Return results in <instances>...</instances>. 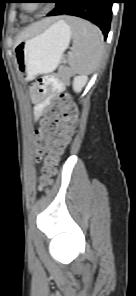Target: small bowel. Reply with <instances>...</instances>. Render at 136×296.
Listing matches in <instances>:
<instances>
[{
  "label": "small bowel",
  "mask_w": 136,
  "mask_h": 296,
  "mask_svg": "<svg viewBox=\"0 0 136 296\" xmlns=\"http://www.w3.org/2000/svg\"><path fill=\"white\" fill-rule=\"evenodd\" d=\"M63 88V84L54 78H52V80L43 78L36 84L34 96V114L36 119L41 117L45 107L49 105L54 98L59 96Z\"/></svg>",
  "instance_id": "c3829d8e"
}]
</instances>
